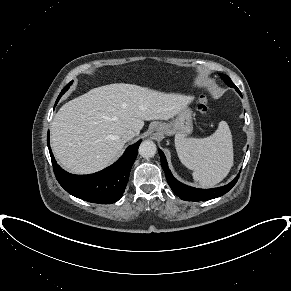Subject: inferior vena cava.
Wrapping results in <instances>:
<instances>
[{"instance_id":"inferior-vena-cava-1","label":"inferior vena cava","mask_w":291,"mask_h":291,"mask_svg":"<svg viewBox=\"0 0 291 291\" xmlns=\"http://www.w3.org/2000/svg\"><path fill=\"white\" fill-rule=\"evenodd\" d=\"M136 135H138L137 132H135L133 130H127L123 133L122 139H123V141L127 142V141L131 140L132 138H134Z\"/></svg>"}]
</instances>
